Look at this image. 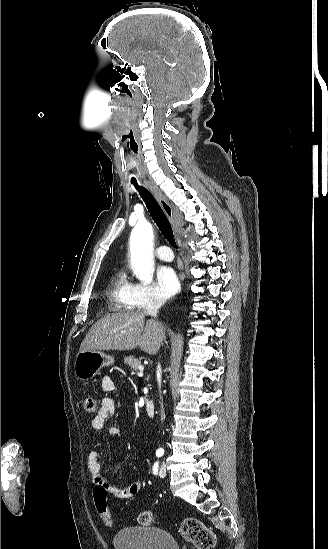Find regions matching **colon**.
Here are the masks:
<instances>
[{
    "label": "colon",
    "mask_w": 328,
    "mask_h": 549,
    "mask_svg": "<svg viewBox=\"0 0 328 549\" xmlns=\"http://www.w3.org/2000/svg\"><path fill=\"white\" fill-rule=\"evenodd\" d=\"M83 406L86 413L93 414L97 410V401L92 396H86ZM93 496L98 515L106 525L112 526L114 522L107 506L106 487L102 483L94 484ZM138 522L142 526H150L154 522V514L149 510L141 511L138 515ZM181 534L197 549H212L216 544V537L212 530L195 518L183 521Z\"/></svg>",
    "instance_id": "5ec220e1"
}]
</instances>
